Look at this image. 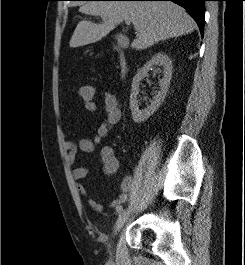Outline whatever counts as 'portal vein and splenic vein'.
I'll return each mask as SVG.
<instances>
[{
    "instance_id": "portal-vein-and-splenic-vein-1",
    "label": "portal vein and splenic vein",
    "mask_w": 245,
    "mask_h": 265,
    "mask_svg": "<svg viewBox=\"0 0 245 265\" xmlns=\"http://www.w3.org/2000/svg\"><path fill=\"white\" fill-rule=\"evenodd\" d=\"M125 22H126V24H128V25L131 23V21H129V20H126Z\"/></svg>"
}]
</instances>
